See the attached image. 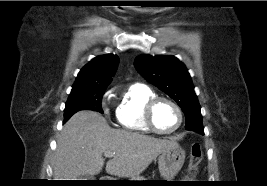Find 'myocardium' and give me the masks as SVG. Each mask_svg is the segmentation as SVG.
I'll list each match as a JSON object with an SVG mask.
<instances>
[{
    "instance_id": "myocardium-1",
    "label": "myocardium",
    "mask_w": 267,
    "mask_h": 186,
    "mask_svg": "<svg viewBox=\"0 0 267 186\" xmlns=\"http://www.w3.org/2000/svg\"><path fill=\"white\" fill-rule=\"evenodd\" d=\"M161 101H165V102H168L169 104H171L175 108V110L177 111V114H178V122H177L176 126L169 131H164V130L158 129L154 123V119H153L154 109H155L156 105ZM143 118H144V122L147 125V127L152 132H154L156 134H160V135L174 134L175 132H177L180 129V127L183 124V120H184L183 111L176 101H174L173 99H171L169 97L158 96V95L150 98L147 101V103L145 104Z\"/></svg>"
}]
</instances>
